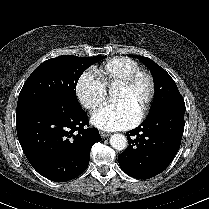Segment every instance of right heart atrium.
I'll return each mask as SVG.
<instances>
[{
    "label": "right heart atrium",
    "instance_id": "1",
    "mask_svg": "<svg viewBox=\"0 0 209 209\" xmlns=\"http://www.w3.org/2000/svg\"><path fill=\"white\" fill-rule=\"evenodd\" d=\"M75 90L80 103L90 111L98 109L107 99L106 86L92 71H85L80 75Z\"/></svg>",
    "mask_w": 209,
    "mask_h": 209
}]
</instances>
